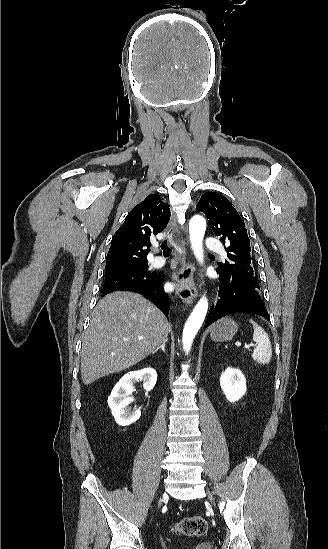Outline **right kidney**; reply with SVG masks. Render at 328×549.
Returning a JSON list of instances; mask_svg holds the SVG:
<instances>
[{"mask_svg": "<svg viewBox=\"0 0 328 549\" xmlns=\"http://www.w3.org/2000/svg\"><path fill=\"white\" fill-rule=\"evenodd\" d=\"M139 379H143V387L146 391H152L154 385H156L157 373L154 369H151V367L141 369V371H130V373H126L124 377H121L119 383L115 385L111 395L108 397V405L111 409V413L116 423L122 425V427L135 423L141 415L139 409L134 411V413H128V411H126L127 405L132 403V399H130L129 395L134 391L133 383L139 381Z\"/></svg>", "mask_w": 328, "mask_h": 549, "instance_id": "ca27d5eb", "label": "right kidney"}]
</instances>
